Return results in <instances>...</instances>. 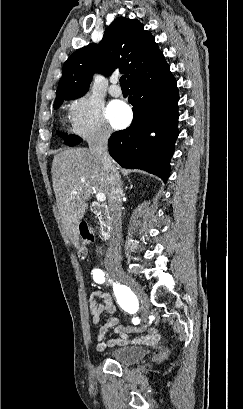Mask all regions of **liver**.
<instances>
[{"mask_svg":"<svg viewBox=\"0 0 243 409\" xmlns=\"http://www.w3.org/2000/svg\"><path fill=\"white\" fill-rule=\"evenodd\" d=\"M52 182L61 221L73 245L79 243V223L94 191L108 195L101 161L86 148L65 149L54 156ZM76 193H73V192Z\"/></svg>","mask_w":243,"mask_h":409,"instance_id":"6515ba94","label":"liver"}]
</instances>
